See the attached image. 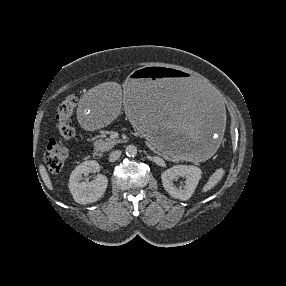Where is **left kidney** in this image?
I'll list each match as a JSON object with an SVG mask.
<instances>
[{"label":"left kidney","instance_id":"1","mask_svg":"<svg viewBox=\"0 0 286 286\" xmlns=\"http://www.w3.org/2000/svg\"><path fill=\"white\" fill-rule=\"evenodd\" d=\"M200 168L192 165H175L161 174L164 189L171 197L182 201L188 200L194 193L199 180L201 179ZM178 177L186 178L185 186L177 188L173 180Z\"/></svg>","mask_w":286,"mask_h":286}]
</instances>
